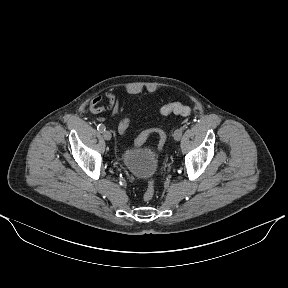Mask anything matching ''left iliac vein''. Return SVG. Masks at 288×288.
<instances>
[{
	"mask_svg": "<svg viewBox=\"0 0 288 288\" xmlns=\"http://www.w3.org/2000/svg\"><path fill=\"white\" fill-rule=\"evenodd\" d=\"M182 133H183V132H180L179 129H176V130L174 131V134H173L174 139H175L176 141H179V140L181 139V137H182Z\"/></svg>",
	"mask_w": 288,
	"mask_h": 288,
	"instance_id": "obj_1",
	"label": "left iliac vein"
}]
</instances>
